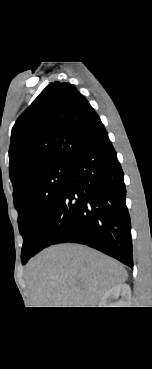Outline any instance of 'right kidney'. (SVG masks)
<instances>
[{"mask_svg": "<svg viewBox=\"0 0 152 369\" xmlns=\"http://www.w3.org/2000/svg\"><path fill=\"white\" fill-rule=\"evenodd\" d=\"M131 289L126 283L118 284L108 290L100 301V307H129Z\"/></svg>", "mask_w": 152, "mask_h": 369, "instance_id": "1", "label": "right kidney"}]
</instances>
